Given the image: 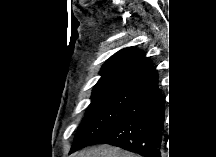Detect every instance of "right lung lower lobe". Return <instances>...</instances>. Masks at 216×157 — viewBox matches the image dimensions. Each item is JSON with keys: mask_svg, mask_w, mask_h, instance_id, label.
Returning <instances> with one entry per match:
<instances>
[{"mask_svg": "<svg viewBox=\"0 0 216 157\" xmlns=\"http://www.w3.org/2000/svg\"><path fill=\"white\" fill-rule=\"evenodd\" d=\"M158 82L137 89L119 121L93 144H110L143 157H162L165 97Z\"/></svg>", "mask_w": 216, "mask_h": 157, "instance_id": "98d812e1", "label": "right lung lower lobe"}]
</instances>
